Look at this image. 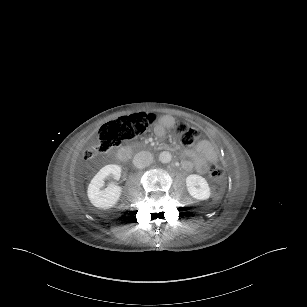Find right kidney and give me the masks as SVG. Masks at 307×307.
Instances as JSON below:
<instances>
[{
  "label": "right kidney",
  "mask_w": 307,
  "mask_h": 307,
  "mask_svg": "<svg viewBox=\"0 0 307 307\" xmlns=\"http://www.w3.org/2000/svg\"><path fill=\"white\" fill-rule=\"evenodd\" d=\"M121 167L115 164H109L100 169V171L91 180L87 195L90 202L98 208L108 209L113 207L122 192V188L113 183H110L107 188L101 189L104 186V179L112 175L115 180L121 177Z\"/></svg>",
  "instance_id": "obj_1"
}]
</instances>
